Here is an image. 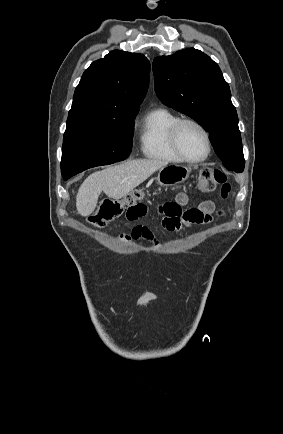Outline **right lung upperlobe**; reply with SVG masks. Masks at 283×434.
Here are the masks:
<instances>
[{
	"label": "right lung upper lobe",
	"mask_w": 283,
	"mask_h": 434,
	"mask_svg": "<svg viewBox=\"0 0 283 434\" xmlns=\"http://www.w3.org/2000/svg\"><path fill=\"white\" fill-rule=\"evenodd\" d=\"M149 73L150 62L144 55L111 51L83 73L67 120L137 115L148 89Z\"/></svg>",
	"instance_id": "cb5924a9"
}]
</instances>
